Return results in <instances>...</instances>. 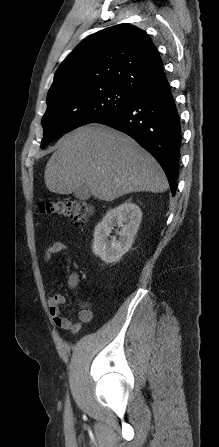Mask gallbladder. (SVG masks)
<instances>
[{
	"label": "gallbladder",
	"instance_id": "1",
	"mask_svg": "<svg viewBox=\"0 0 219 447\" xmlns=\"http://www.w3.org/2000/svg\"><path fill=\"white\" fill-rule=\"evenodd\" d=\"M74 196L79 199V200H88L91 196V192L89 190V188L83 184L82 186H80L77 190H75L74 192Z\"/></svg>",
	"mask_w": 219,
	"mask_h": 447
}]
</instances>
